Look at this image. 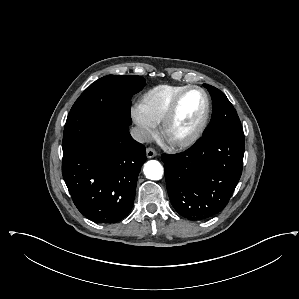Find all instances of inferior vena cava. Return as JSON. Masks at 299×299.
<instances>
[{
	"mask_svg": "<svg viewBox=\"0 0 299 299\" xmlns=\"http://www.w3.org/2000/svg\"><path fill=\"white\" fill-rule=\"evenodd\" d=\"M131 136L134 140L140 143H148L151 141V136L145 129L134 127L131 130Z\"/></svg>",
	"mask_w": 299,
	"mask_h": 299,
	"instance_id": "602c4592",
	"label": "inferior vena cava"
}]
</instances>
